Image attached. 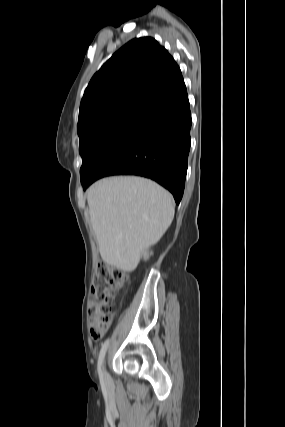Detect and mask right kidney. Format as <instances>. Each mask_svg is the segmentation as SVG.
Masks as SVG:
<instances>
[{"mask_svg":"<svg viewBox=\"0 0 285 427\" xmlns=\"http://www.w3.org/2000/svg\"><path fill=\"white\" fill-rule=\"evenodd\" d=\"M151 254H152V253H150V255H151ZM148 258H149V254L145 253V254H144V259H145V260H147Z\"/></svg>","mask_w":285,"mask_h":427,"instance_id":"1","label":"right kidney"}]
</instances>
